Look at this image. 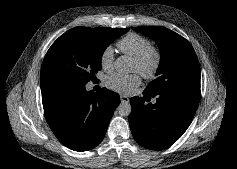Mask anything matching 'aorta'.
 I'll use <instances>...</instances> for the list:
<instances>
[{
    "label": "aorta",
    "instance_id": "762f6f07",
    "mask_svg": "<svg viewBox=\"0 0 237 169\" xmlns=\"http://www.w3.org/2000/svg\"><path fill=\"white\" fill-rule=\"evenodd\" d=\"M114 68L118 73H129L132 71V63L126 56L118 57L114 62ZM132 110L128 101H122L117 107V112L122 117L130 115Z\"/></svg>",
    "mask_w": 237,
    "mask_h": 169
}]
</instances>
